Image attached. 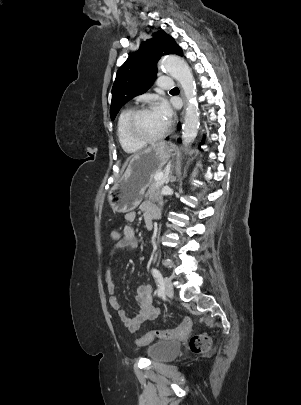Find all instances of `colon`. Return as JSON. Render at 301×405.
Masks as SVG:
<instances>
[{
	"label": "colon",
	"mask_w": 301,
	"mask_h": 405,
	"mask_svg": "<svg viewBox=\"0 0 301 405\" xmlns=\"http://www.w3.org/2000/svg\"><path fill=\"white\" fill-rule=\"evenodd\" d=\"M113 231L110 234V239L112 243L118 242V235L119 231L116 230L117 226H112ZM191 329V320L186 318L176 329L173 330H161V329H153L147 332L144 336L140 337L136 340V344L143 346L154 339H163V340H170L176 338H182L186 336ZM212 343V338L205 334H198L194 335L189 340V346L193 353H204L206 352Z\"/></svg>",
	"instance_id": "obj_1"
}]
</instances>
